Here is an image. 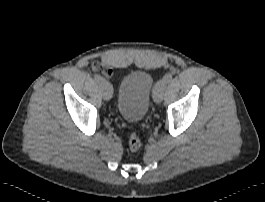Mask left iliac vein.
<instances>
[{
  "label": "left iliac vein",
  "instance_id": "4c4485c4",
  "mask_svg": "<svg viewBox=\"0 0 265 202\" xmlns=\"http://www.w3.org/2000/svg\"><path fill=\"white\" fill-rule=\"evenodd\" d=\"M167 86V82L162 79L159 81L158 86L154 89L153 99L156 103H160L163 100V95Z\"/></svg>",
  "mask_w": 265,
  "mask_h": 202
}]
</instances>
